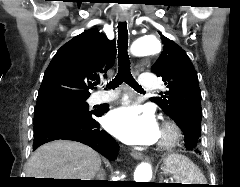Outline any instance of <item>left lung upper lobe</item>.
Segmentation results:
<instances>
[{"label": "left lung upper lobe", "mask_w": 240, "mask_h": 187, "mask_svg": "<svg viewBox=\"0 0 240 187\" xmlns=\"http://www.w3.org/2000/svg\"><path fill=\"white\" fill-rule=\"evenodd\" d=\"M159 34L164 44L163 52L151 71L162 77L168 89L160 93L161 97L151 100L183 131L195 132L196 143L193 148L198 149L202 108L197 72L185 51L174 41Z\"/></svg>", "instance_id": "1"}]
</instances>
